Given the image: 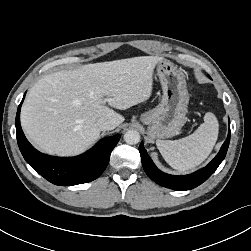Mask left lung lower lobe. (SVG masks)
I'll list each match as a JSON object with an SVG mask.
<instances>
[{"label":"left lung lower lobe","mask_w":251,"mask_h":251,"mask_svg":"<svg viewBox=\"0 0 251 251\" xmlns=\"http://www.w3.org/2000/svg\"><path fill=\"white\" fill-rule=\"evenodd\" d=\"M229 142H230V129L226 141L222 145L219 153L215 156V158L206 167L192 174L184 176L169 175L160 171L155 166V164L147 154L146 150L144 149L143 142H141L139 146V151L141 155L143 168L146 174L150 177V179H152L157 184L163 187L170 188L173 190L183 191V190H190L199 186L215 172V170L218 168V166L226 156Z\"/></svg>","instance_id":"0a47b994"}]
</instances>
